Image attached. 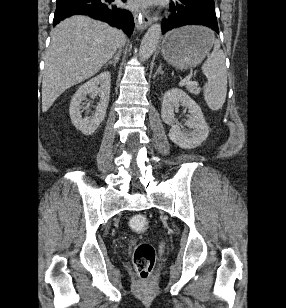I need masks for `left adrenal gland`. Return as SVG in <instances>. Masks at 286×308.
<instances>
[{
  "label": "left adrenal gland",
  "instance_id": "left-adrenal-gland-1",
  "mask_svg": "<svg viewBox=\"0 0 286 308\" xmlns=\"http://www.w3.org/2000/svg\"><path fill=\"white\" fill-rule=\"evenodd\" d=\"M158 74H160V75L163 74L162 65L161 64L159 65V67H158L157 71L155 72L153 78L155 79Z\"/></svg>",
  "mask_w": 286,
  "mask_h": 308
}]
</instances>
